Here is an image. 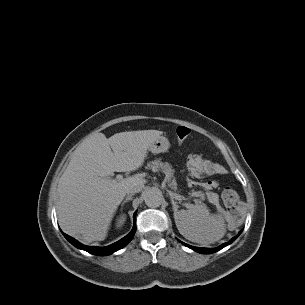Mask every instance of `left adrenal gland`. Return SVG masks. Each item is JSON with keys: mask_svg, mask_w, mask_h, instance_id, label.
Here are the masks:
<instances>
[{"mask_svg": "<svg viewBox=\"0 0 305 305\" xmlns=\"http://www.w3.org/2000/svg\"><path fill=\"white\" fill-rule=\"evenodd\" d=\"M172 200V205H173V209L175 210L176 209V207H177V205H176V203L174 202V200H173V198H171Z\"/></svg>", "mask_w": 305, "mask_h": 305, "instance_id": "obj_1", "label": "left adrenal gland"}]
</instances>
